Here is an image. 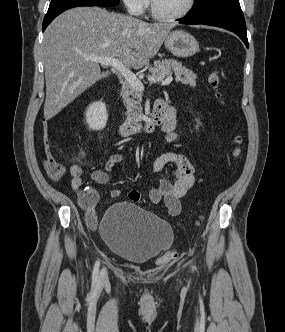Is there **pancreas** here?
Listing matches in <instances>:
<instances>
[{"mask_svg": "<svg viewBox=\"0 0 285 332\" xmlns=\"http://www.w3.org/2000/svg\"><path fill=\"white\" fill-rule=\"evenodd\" d=\"M173 72L176 75L177 82L190 86L196 85L197 75L174 59L154 62V66H151L149 69L150 76L157 78L169 76ZM122 98L127 108V121L136 126L143 117L141 107L142 93L126 83L122 87Z\"/></svg>", "mask_w": 285, "mask_h": 332, "instance_id": "obj_1", "label": "pancreas"}]
</instances>
